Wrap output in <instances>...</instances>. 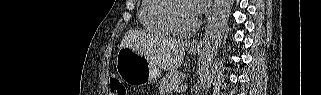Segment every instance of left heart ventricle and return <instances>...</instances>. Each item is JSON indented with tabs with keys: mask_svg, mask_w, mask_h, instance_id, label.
<instances>
[{
	"mask_svg": "<svg viewBox=\"0 0 321 95\" xmlns=\"http://www.w3.org/2000/svg\"><path fill=\"white\" fill-rule=\"evenodd\" d=\"M194 14L186 4H178L174 7L172 18L175 24L181 29L190 28L195 21Z\"/></svg>",
	"mask_w": 321,
	"mask_h": 95,
	"instance_id": "obj_1",
	"label": "left heart ventricle"
}]
</instances>
